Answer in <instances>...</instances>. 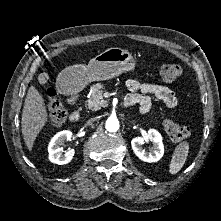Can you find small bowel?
Segmentation results:
<instances>
[{"instance_id": "small-bowel-1", "label": "small bowel", "mask_w": 221, "mask_h": 221, "mask_svg": "<svg viewBox=\"0 0 221 221\" xmlns=\"http://www.w3.org/2000/svg\"><path fill=\"white\" fill-rule=\"evenodd\" d=\"M126 86L131 91L124 98L123 105L126 108L139 105L141 113L149 114L152 98L163 102L168 108H174L177 105V97L168 87L136 79H128Z\"/></svg>"}]
</instances>
